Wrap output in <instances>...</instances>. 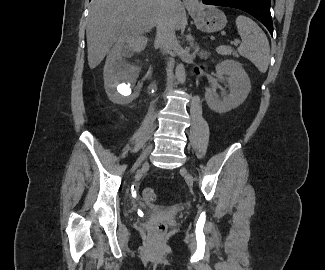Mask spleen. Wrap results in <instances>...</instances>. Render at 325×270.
Returning a JSON list of instances; mask_svg holds the SVG:
<instances>
[{
    "label": "spleen",
    "instance_id": "obj_1",
    "mask_svg": "<svg viewBox=\"0 0 325 270\" xmlns=\"http://www.w3.org/2000/svg\"><path fill=\"white\" fill-rule=\"evenodd\" d=\"M236 26L242 39L238 52L249 59L261 73H265L270 62V46L265 33L255 21L244 15L236 18ZM232 51L229 46L217 48V52L222 55H229Z\"/></svg>",
    "mask_w": 325,
    "mask_h": 270
}]
</instances>
